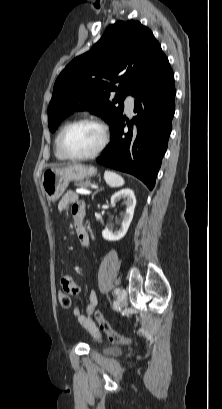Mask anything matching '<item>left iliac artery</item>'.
Returning <instances> with one entry per match:
<instances>
[{
    "label": "left iliac artery",
    "instance_id": "1",
    "mask_svg": "<svg viewBox=\"0 0 222 409\" xmlns=\"http://www.w3.org/2000/svg\"><path fill=\"white\" fill-rule=\"evenodd\" d=\"M120 291H121V290H120L119 288H116L115 291H114V293H115L116 295H119V294H120Z\"/></svg>",
    "mask_w": 222,
    "mask_h": 409
}]
</instances>
